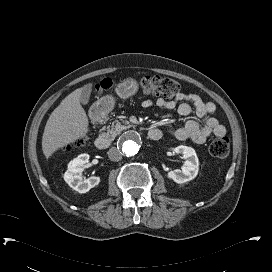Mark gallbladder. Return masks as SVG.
I'll return each mask as SVG.
<instances>
[{"label": "gallbladder", "instance_id": "obj_1", "mask_svg": "<svg viewBox=\"0 0 272 272\" xmlns=\"http://www.w3.org/2000/svg\"><path fill=\"white\" fill-rule=\"evenodd\" d=\"M91 91H92V85L91 84L84 85V87L82 88V94H81V97H80V101L82 103L86 104V103L89 102Z\"/></svg>", "mask_w": 272, "mask_h": 272}]
</instances>
